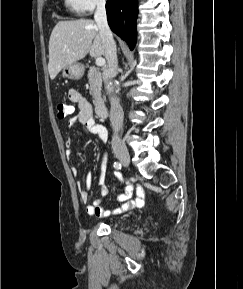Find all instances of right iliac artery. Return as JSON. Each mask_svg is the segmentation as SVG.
<instances>
[{
    "label": "right iliac artery",
    "mask_w": 243,
    "mask_h": 289,
    "mask_svg": "<svg viewBox=\"0 0 243 289\" xmlns=\"http://www.w3.org/2000/svg\"><path fill=\"white\" fill-rule=\"evenodd\" d=\"M113 166L115 169H121V164L119 162H114Z\"/></svg>",
    "instance_id": "82829eb1"
}]
</instances>
